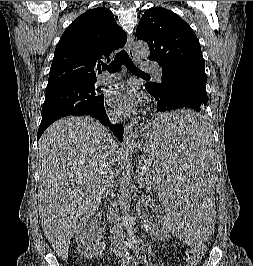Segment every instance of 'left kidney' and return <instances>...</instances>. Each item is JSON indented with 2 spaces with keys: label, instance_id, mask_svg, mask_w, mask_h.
<instances>
[{
  "label": "left kidney",
  "instance_id": "1",
  "mask_svg": "<svg viewBox=\"0 0 253 266\" xmlns=\"http://www.w3.org/2000/svg\"><path fill=\"white\" fill-rule=\"evenodd\" d=\"M161 223L163 226L162 230L154 233V236H156L157 239L164 240L169 236V233L172 231V225L169 222L168 218L165 216L163 217V221H161Z\"/></svg>",
  "mask_w": 253,
  "mask_h": 266
}]
</instances>
